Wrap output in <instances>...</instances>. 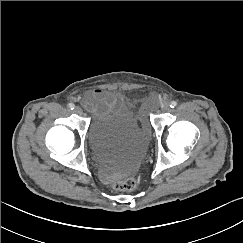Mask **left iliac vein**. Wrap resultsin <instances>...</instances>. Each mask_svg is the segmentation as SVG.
<instances>
[{"label": "left iliac vein", "mask_w": 243, "mask_h": 243, "mask_svg": "<svg viewBox=\"0 0 243 243\" xmlns=\"http://www.w3.org/2000/svg\"><path fill=\"white\" fill-rule=\"evenodd\" d=\"M162 111L164 112H167L170 110V105L169 104H164L162 107H161Z\"/></svg>", "instance_id": "obj_1"}]
</instances>
